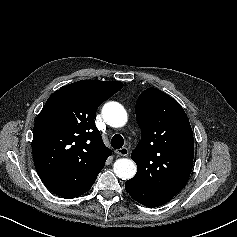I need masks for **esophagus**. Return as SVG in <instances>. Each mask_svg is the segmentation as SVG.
I'll list each match as a JSON object with an SVG mask.
<instances>
[{"label":"esophagus","mask_w":237,"mask_h":237,"mask_svg":"<svg viewBox=\"0 0 237 237\" xmlns=\"http://www.w3.org/2000/svg\"><path fill=\"white\" fill-rule=\"evenodd\" d=\"M115 153L120 155V156H127L129 154V150L128 148L124 147V148H121V149H117L115 150Z\"/></svg>","instance_id":"obj_1"}]
</instances>
